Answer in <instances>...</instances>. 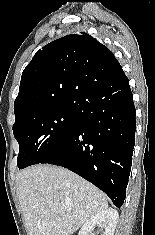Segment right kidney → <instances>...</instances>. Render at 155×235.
<instances>
[{
    "mask_svg": "<svg viewBox=\"0 0 155 235\" xmlns=\"http://www.w3.org/2000/svg\"><path fill=\"white\" fill-rule=\"evenodd\" d=\"M118 217L119 215L116 210L107 209L87 220L81 227L78 235H89L96 225L104 229L101 235H114Z\"/></svg>",
    "mask_w": 155,
    "mask_h": 235,
    "instance_id": "ca27d5eb",
    "label": "right kidney"
}]
</instances>
